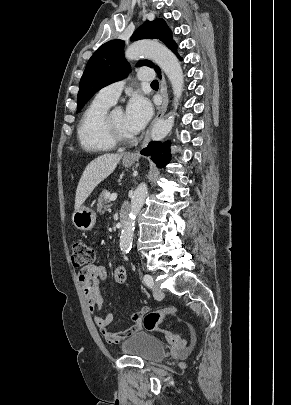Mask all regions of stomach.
<instances>
[{"label": "stomach", "instance_id": "1", "mask_svg": "<svg viewBox=\"0 0 291 405\" xmlns=\"http://www.w3.org/2000/svg\"><path fill=\"white\" fill-rule=\"evenodd\" d=\"M134 164L133 159H124L123 166L131 167ZM72 221L74 226L82 231L91 230L96 223V213L89 207L81 206L72 214Z\"/></svg>", "mask_w": 291, "mask_h": 405}]
</instances>
